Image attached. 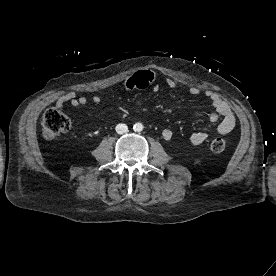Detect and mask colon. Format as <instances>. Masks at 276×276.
Masks as SVG:
<instances>
[{
	"label": "colon",
	"instance_id": "5ec220e1",
	"mask_svg": "<svg viewBox=\"0 0 276 276\" xmlns=\"http://www.w3.org/2000/svg\"><path fill=\"white\" fill-rule=\"evenodd\" d=\"M42 132L45 138L54 139L65 133L71 126L70 119L57 107L48 108L42 116ZM226 149V141L223 138H215L210 143V150L214 153H222Z\"/></svg>",
	"mask_w": 276,
	"mask_h": 276
}]
</instances>
